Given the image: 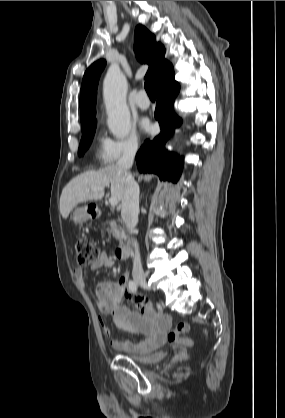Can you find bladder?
<instances>
[{
	"label": "bladder",
	"instance_id": "obj_1",
	"mask_svg": "<svg viewBox=\"0 0 285 418\" xmlns=\"http://www.w3.org/2000/svg\"><path fill=\"white\" fill-rule=\"evenodd\" d=\"M126 356L137 363L150 364L161 361L164 358V353L161 350H152L144 352H128Z\"/></svg>",
	"mask_w": 285,
	"mask_h": 418
}]
</instances>
